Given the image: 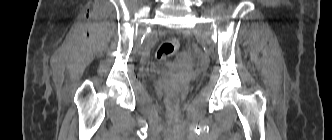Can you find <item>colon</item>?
<instances>
[{
    "label": "colon",
    "mask_w": 332,
    "mask_h": 140,
    "mask_svg": "<svg viewBox=\"0 0 332 140\" xmlns=\"http://www.w3.org/2000/svg\"><path fill=\"white\" fill-rule=\"evenodd\" d=\"M179 48V42L176 39L163 41L157 48L155 57L158 61L169 60Z\"/></svg>",
    "instance_id": "1"
}]
</instances>
